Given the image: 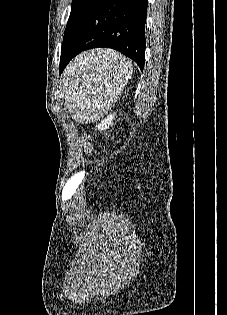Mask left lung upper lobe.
Returning <instances> with one entry per match:
<instances>
[{
  "mask_svg": "<svg viewBox=\"0 0 227 315\" xmlns=\"http://www.w3.org/2000/svg\"><path fill=\"white\" fill-rule=\"evenodd\" d=\"M98 0H72L71 13L65 29L62 47L77 24L90 12Z\"/></svg>",
  "mask_w": 227,
  "mask_h": 315,
  "instance_id": "1",
  "label": "left lung upper lobe"
}]
</instances>
